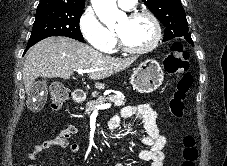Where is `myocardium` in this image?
Wrapping results in <instances>:
<instances>
[{
	"instance_id": "myocardium-1",
	"label": "myocardium",
	"mask_w": 227,
	"mask_h": 166,
	"mask_svg": "<svg viewBox=\"0 0 227 166\" xmlns=\"http://www.w3.org/2000/svg\"><path fill=\"white\" fill-rule=\"evenodd\" d=\"M126 17L130 20H133L139 17L148 18L152 22L154 27V37L148 45L141 48H133V47L127 46L121 39L120 35L115 31V37L119 48L122 49L124 52L133 54V55H142L154 50L159 44L162 37L161 25L157 17L153 13L145 10L129 12L127 13Z\"/></svg>"
}]
</instances>
